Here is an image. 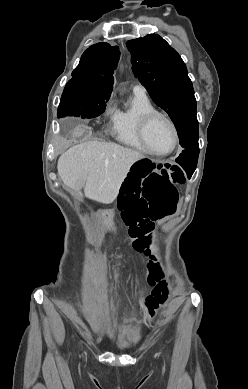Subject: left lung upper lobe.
Returning <instances> with one entry per match:
<instances>
[{
    "mask_svg": "<svg viewBox=\"0 0 248 389\" xmlns=\"http://www.w3.org/2000/svg\"><path fill=\"white\" fill-rule=\"evenodd\" d=\"M126 45L131 52L133 73L153 101L168 113L180 145L185 149L196 146L198 138L190 139L183 132L184 119L196 113V99L180 55L157 34L129 40Z\"/></svg>",
    "mask_w": 248,
    "mask_h": 389,
    "instance_id": "5c2ea615",
    "label": "left lung upper lobe"
}]
</instances>
